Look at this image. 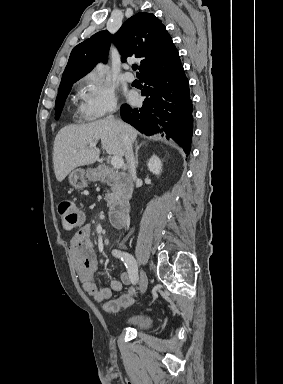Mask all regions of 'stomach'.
Here are the masks:
<instances>
[{
  "instance_id": "0dacf381",
  "label": "stomach",
  "mask_w": 283,
  "mask_h": 384,
  "mask_svg": "<svg viewBox=\"0 0 283 384\" xmlns=\"http://www.w3.org/2000/svg\"><path fill=\"white\" fill-rule=\"evenodd\" d=\"M88 180H90V182H94L95 180V172L93 168H88V170H81V168H78V170H73V172H70L69 174V182L71 186H75L77 190L87 188Z\"/></svg>"
}]
</instances>
